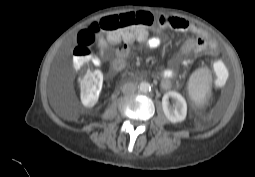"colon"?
Listing matches in <instances>:
<instances>
[{
	"mask_svg": "<svg viewBox=\"0 0 255 177\" xmlns=\"http://www.w3.org/2000/svg\"><path fill=\"white\" fill-rule=\"evenodd\" d=\"M158 23L160 25V21ZM154 24L155 19L150 13L136 12L108 16L79 31L72 57L74 65L82 70L79 86L85 104H94L98 100L102 84L100 71L92 67L94 58L91 47L95 43L105 45L132 42Z\"/></svg>",
	"mask_w": 255,
	"mask_h": 177,
	"instance_id": "1",
	"label": "colon"
}]
</instances>
